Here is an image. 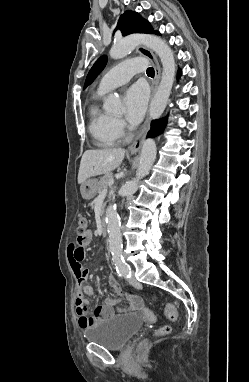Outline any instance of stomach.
Returning <instances> with one entry per match:
<instances>
[{
	"label": "stomach",
	"mask_w": 249,
	"mask_h": 382,
	"mask_svg": "<svg viewBox=\"0 0 249 382\" xmlns=\"http://www.w3.org/2000/svg\"><path fill=\"white\" fill-rule=\"evenodd\" d=\"M81 195L84 199L89 200L95 197V195L98 192V183L96 179H87L85 182L82 183L81 188Z\"/></svg>",
	"instance_id": "0dacf381"
}]
</instances>
